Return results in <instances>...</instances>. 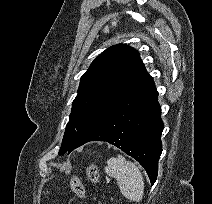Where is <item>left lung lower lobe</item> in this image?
I'll return each mask as SVG.
<instances>
[{
  "label": "left lung lower lobe",
  "mask_w": 212,
  "mask_h": 204,
  "mask_svg": "<svg viewBox=\"0 0 212 204\" xmlns=\"http://www.w3.org/2000/svg\"><path fill=\"white\" fill-rule=\"evenodd\" d=\"M157 97L158 92L150 78L81 133L69 151L90 141H106L135 158L153 185L162 152L160 137L164 126Z\"/></svg>",
  "instance_id": "1"
}]
</instances>
